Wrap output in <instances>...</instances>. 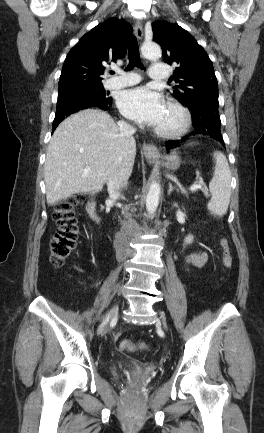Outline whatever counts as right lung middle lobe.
<instances>
[{
	"mask_svg": "<svg viewBox=\"0 0 264 433\" xmlns=\"http://www.w3.org/2000/svg\"><path fill=\"white\" fill-rule=\"evenodd\" d=\"M78 97H98L100 99L109 98L108 93L104 91L101 84L97 85H77L69 87L58 93L56 114L63 112L61 107L63 103L69 102Z\"/></svg>",
	"mask_w": 264,
	"mask_h": 433,
	"instance_id": "dd1d6c3e",
	"label": "right lung middle lobe"
}]
</instances>
